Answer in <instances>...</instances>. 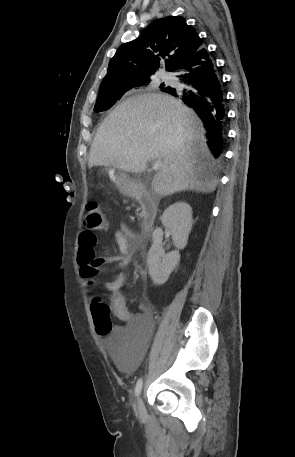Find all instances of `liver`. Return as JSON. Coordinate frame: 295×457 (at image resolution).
Instances as JSON below:
<instances>
[{
	"label": "liver",
	"instance_id": "1",
	"mask_svg": "<svg viewBox=\"0 0 295 457\" xmlns=\"http://www.w3.org/2000/svg\"><path fill=\"white\" fill-rule=\"evenodd\" d=\"M204 134L196 113L181 100L161 93L139 94L104 119L92 142L88 166L141 173L148 161L161 160L152 181L155 193H210L218 181Z\"/></svg>",
	"mask_w": 295,
	"mask_h": 457
}]
</instances>
